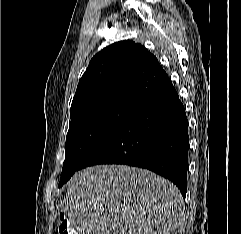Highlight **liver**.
Wrapping results in <instances>:
<instances>
[{
	"instance_id": "liver-1",
	"label": "liver",
	"mask_w": 241,
	"mask_h": 234,
	"mask_svg": "<svg viewBox=\"0 0 241 234\" xmlns=\"http://www.w3.org/2000/svg\"><path fill=\"white\" fill-rule=\"evenodd\" d=\"M61 210L76 234H177L184 227L178 188L150 171L125 165L75 173Z\"/></svg>"
}]
</instances>
